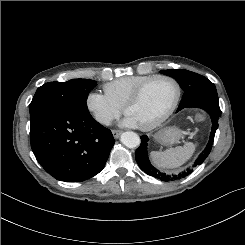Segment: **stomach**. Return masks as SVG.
<instances>
[{
  "label": "stomach",
  "mask_w": 245,
  "mask_h": 245,
  "mask_svg": "<svg viewBox=\"0 0 245 245\" xmlns=\"http://www.w3.org/2000/svg\"><path fill=\"white\" fill-rule=\"evenodd\" d=\"M182 132L177 127H166L158 131L155 139L163 145H173L179 142Z\"/></svg>",
  "instance_id": "0dacf381"
}]
</instances>
